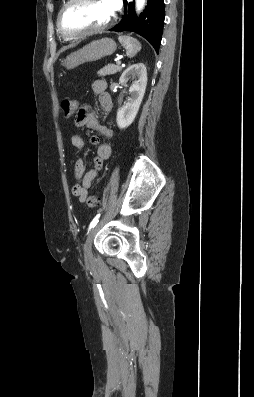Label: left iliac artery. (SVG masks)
Returning a JSON list of instances; mask_svg holds the SVG:
<instances>
[{"mask_svg":"<svg viewBox=\"0 0 254 397\" xmlns=\"http://www.w3.org/2000/svg\"><path fill=\"white\" fill-rule=\"evenodd\" d=\"M99 218H100V214H98V215L92 220V222L90 223L89 229H91V228H93L94 226H96V224H97L98 221H99Z\"/></svg>","mask_w":254,"mask_h":397,"instance_id":"obj_1","label":"left iliac artery"}]
</instances>
